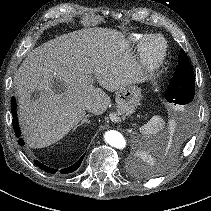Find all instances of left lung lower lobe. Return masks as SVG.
Returning <instances> with one entry per match:
<instances>
[{
  "mask_svg": "<svg viewBox=\"0 0 211 211\" xmlns=\"http://www.w3.org/2000/svg\"><path fill=\"white\" fill-rule=\"evenodd\" d=\"M190 124V117L188 115V113L186 114H183V116H181V119H180V126L185 128L187 127L188 125Z\"/></svg>",
  "mask_w": 211,
  "mask_h": 211,
  "instance_id": "1",
  "label": "left lung lower lobe"
}]
</instances>
